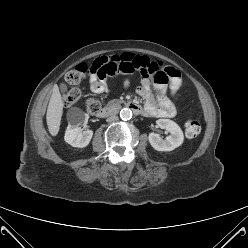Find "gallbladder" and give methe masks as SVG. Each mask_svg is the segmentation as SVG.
Wrapping results in <instances>:
<instances>
[{
  "mask_svg": "<svg viewBox=\"0 0 248 248\" xmlns=\"http://www.w3.org/2000/svg\"><path fill=\"white\" fill-rule=\"evenodd\" d=\"M61 89H62V91H66L67 90V86L65 84H61Z\"/></svg>",
  "mask_w": 248,
  "mask_h": 248,
  "instance_id": "bac80fb5",
  "label": "gallbladder"
}]
</instances>
